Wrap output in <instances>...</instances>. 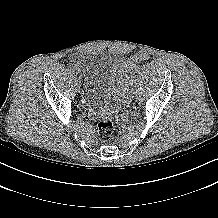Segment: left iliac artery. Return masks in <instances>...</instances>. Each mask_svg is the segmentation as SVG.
Masks as SVG:
<instances>
[{"label": "left iliac artery", "mask_w": 218, "mask_h": 218, "mask_svg": "<svg viewBox=\"0 0 218 218\" xmlns=\"http://www.w3.org/2000/svg\"><path fill=\"white\" fill-rule=\"evenodd\" d=\"M134 84H135V81H134V80H131L130 83L128 84L129 86L127 87V91H128V90H131V91H132V90H133V86H132V85H134Z\"/></svg>", "instance_id": "left-iliac-artery-1"}]
</instances>
